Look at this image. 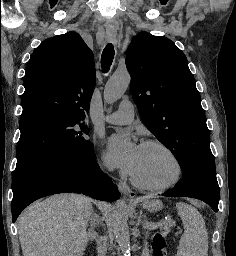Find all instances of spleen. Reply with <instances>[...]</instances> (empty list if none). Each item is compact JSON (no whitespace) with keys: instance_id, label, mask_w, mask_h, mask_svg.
<instances>
[{"instance_id":"3e777b00","label":"spleen","mask_w":236,"mask_h":256,"mask_svg":"<svg viewBox=\"0 0 236 256\" xmlns=\"http://www.w3.org/2000/svg\"><path fill=\"white\" fill-rule=\"evenodd\" d=\"M176 208L184 228L176 256H208V232L201 214L183 202L176 204Z\"/></svg>"}]
</instances>
